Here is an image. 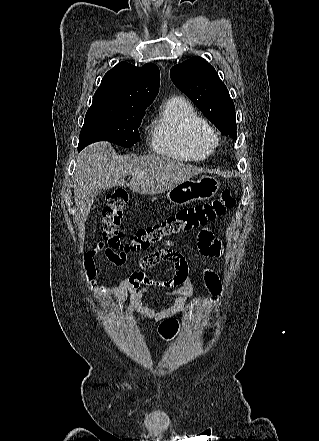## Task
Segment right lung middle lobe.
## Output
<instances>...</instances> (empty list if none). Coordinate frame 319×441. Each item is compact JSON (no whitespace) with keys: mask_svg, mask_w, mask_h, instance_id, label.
<instances>
[{"mask_svg":"<svg viewBox=\"0 0 319 441\" xmlns=\"http://www.w3.org/2000/svg\"><path fill=\"white\" fill-rule=\"evenodd\" d=\"M146 106H91L79 136L78 151L97 141L131 147L139 141L138 127Z\"/></svg>","mask_w":319,"mask_h":441,"instance_id":"1","label":"right lung middle lobe"}]
</instances>
